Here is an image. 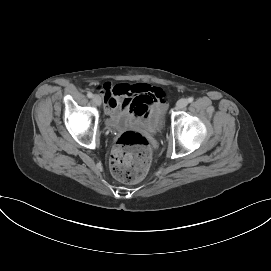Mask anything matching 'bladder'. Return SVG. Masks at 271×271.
Wrapping results in <instances>:
<instances>
[{
    "instance_id": "bladder-1",
    "label": "bladder",
    "mask_w": 271,
    "mask_h": 271,
    "mask_svg": "<svg viewBox=\"0 0 271 271\" xmlns=\"http://www.w3.org/2000/svg\"><path fill=\"white\" fill-rule=\"evenodd\" d=\"M162 127H163V119L161 115L156 118H153V120L149 124V128L152 131H160Z\"/></svg>"
}]
</instances>
